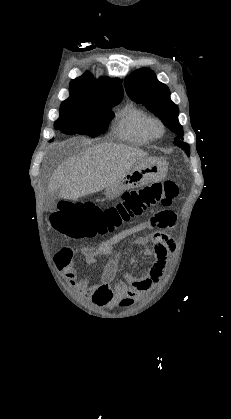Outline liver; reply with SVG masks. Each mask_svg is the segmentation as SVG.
Listing matches in <instances>:
<instances>
[{
    "label": "liver",
    "mask_w": 231,
    "mask_h": 419,
    "mask_svg": "<svg viewBox=\"0 0 231 419\" xmlns=\"http://www.w3.org/2000/svg\"><path fill=\"white\" fill-rule=\"evenodd\" d=\"M147 156V152L123 144L94 145L59 166L47 191L59 190L61 198L76 201L108 188Z\"/></svg>",
    "instance_id": "1"
}]
</instances>
